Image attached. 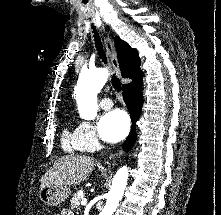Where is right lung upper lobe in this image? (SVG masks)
<instances>
[{
  "instance_id": "obj_1",
  "label": "right lung upper lobe",
  "mask_w": 221,
  "mask_h": 215,
  "mask_svg": "<svg viewBox=\"0 0 221 215\" xmlns=\"http://www.w3.org/2000/svg\"><path fill=\"white\" fill-rule=\"evenodd\" d=\"M115 45L122 77L130 78L133 82L142 78L143 73L140 70L141 62L137 50L131 48L125 41L118 37H115ZM126 85H123V87Z\"/></svg>"
}]
</instances>
